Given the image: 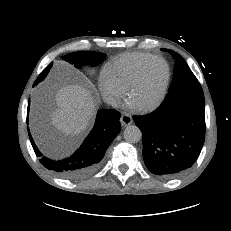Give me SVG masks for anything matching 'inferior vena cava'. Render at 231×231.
<instances>
[{"label": "inferior vena cava", "instance_id": "1", "mask_svg": "<svg viewBox=\"0 0 231 231\" xmlns=\"http://www.w3.org/2000/svg\"><path fill=\"white\" fill-rule=\"evenodd\" d=\"M104 102H106L109 105H112L113 107H118L120 102L117 98H115L114 96H104L103 98Z\"/></svg>", "mask_w": 231, "mask_h": 231}]
</instances>
